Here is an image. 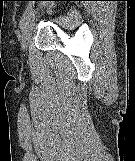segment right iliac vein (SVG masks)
I'll list each match as a JSON object with an SVG mask.
<instances>
[{"mask_svg": "<svg viewBox=\"0 0 135 161\" xmlns=\"http://www.w3.org/2000/svg\"><path fill=\"white\" fill-rule=\"evenodd\" d=\"M31 32H32V25H31L30 21H28L22 31L21 46H22L23 51H25L27 48L28 42L31 37Z\"/></svg>", "mask_w": 135, "mask_h": 161, "instance_id": "1", "label": "right iliac vein"}]
</instances>
